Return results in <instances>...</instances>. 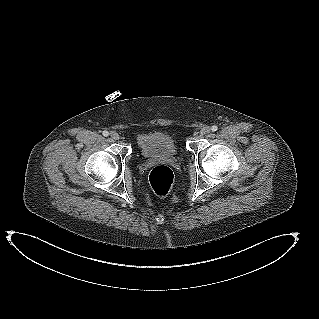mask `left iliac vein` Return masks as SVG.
<instances>
[{"instance_id":"4c4485c4","label":"left iliac vein","mask_w":319,"mask_h":319,"mask_svg":"<svg viewBox=\"0 0 319 319\" xmlns=\"http://www.w3.org/2000/svg\"><path fill=\"white\" fill-rule=\"evenodd\" d=\"M210 131H211V128H210L209 126H204V127L201 128L200 133H201L202 135H207V134L210 133Z\"/></svg>"}]
</instances>
